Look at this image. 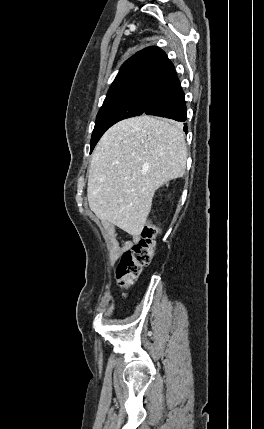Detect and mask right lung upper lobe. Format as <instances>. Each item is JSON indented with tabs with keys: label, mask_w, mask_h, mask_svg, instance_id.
I'll list each match as a JSON object with an SVG mask.
<instances>
[{
	"label": "right lung upper lobe",
	"mask_w": 264,
	"mask_h": 429,
	"mask_svg": "<svg viewBox=\"0 0 264 429\" xmlns=\"http://www.w3.org/2000/svg\"><path fill=\"white\" fill-rule=\"evenodd\" d=\"M175 74L174 65L166 54L158 47H148L122 65L108 93L143 85L162 87Z\"/></svg>",
	"instance_id": "1"
}]
</instances>
